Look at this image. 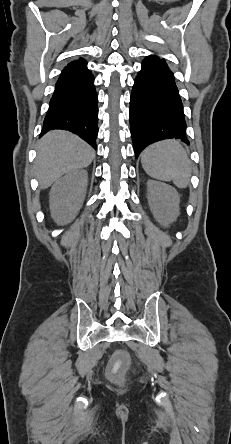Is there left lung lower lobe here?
Masks as SVG:
<instances>
[{
  "mask_svg": "<svg viewBox=\"0 0 231 444\" xmlns=\"http://www.w3.org/2000/svg\"><path fill=\"white\" fill-rule=\"evenodd\" d=\"M130 129L136 157L150 143L177 138L189 144L183 104L163 59L147 56L132 88Z\"/></svg>",
  "mask_w": 231,
  "mask_h": 444,
  "instance_id": "0a47b994",
  "label": "left lung lower lobe"
}]
</instances>
